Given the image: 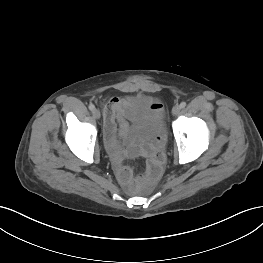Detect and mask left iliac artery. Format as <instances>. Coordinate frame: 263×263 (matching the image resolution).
Returning a JSON list of instances; mask_svg holds the SVG:
<instances>
[{"instance_id": "1", "label": "left iliac artery", "mask_w": 263, "mask_h": 263, "mask_svg": "<svg viewBox=\"0 0 263 263\" xmlns=\"http://www.w3.org/2000/svg\"><path fill=\"white\" fill-rule=\"evenodd\" d=\"M186 106V102H181L180 103V108H184Z\"/></svg>"}]
</instances>
